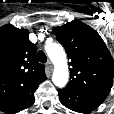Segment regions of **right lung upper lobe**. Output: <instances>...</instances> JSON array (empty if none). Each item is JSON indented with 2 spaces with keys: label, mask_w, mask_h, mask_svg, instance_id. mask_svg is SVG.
Returning a JSON list of instances; mask_svg holds the SVG:
<instances>
[{
  "label": "right lung upper lobe",
  "mask_w": 114,
  "mask_h": 114,
  "mask_svg": "<svg viewBox=\"0 0 114 114\" xmlns=\"http://www.w3.org/2000/svg\"><path fill=\"white\" fill-rule=\"evenodd\" d=\"M36 50L27 30L10 24L0 27V105L37 89L46 80Z\"/></svg>",
  "instance_id": "right-lung-upper-lobe-1"
}]
</instances>
